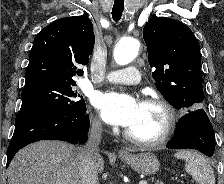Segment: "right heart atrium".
<instances>
[{
    "instance_id": "1",
    "label": "right heart atrium",
    "mask_w": 224,
    "mask_h": 184,
    "mask_svg": "<svg viewBox=\"0 0 224 184\" xmlns=\"http://www.w3.org/2000/svg\"><path fill=\"white\" fill-rule=\"evenodd\" d=\"M92 124H93V126L96 127V128H100V127H101V122H100V120H99L98 118H96V117H94V118L92 119Z\"/></svg>"
}]
</instances>
